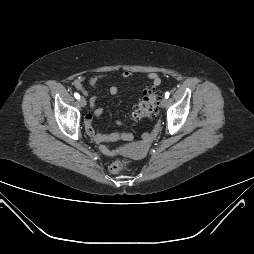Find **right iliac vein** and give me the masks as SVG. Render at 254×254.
Returning <instances> with one entry per match:
<instances>
[{
    "mask_svg": "<svg viewBox=\"0 0 254 254\" xmlns=\"http://www.w3.org/2000/svg\"><path fill=\"white\" fill-rule=\"evenodd\" d=\"M79 103H80V105H81L82 107H85V106H86V99H85L84 97H81V98L79 99Z\"/></svg>",
    "mask_w": 254,
    "mask_h": 254,
    "instance_id": "63e3f726",
    "label": "right iliac vein"
}]
</instances>
